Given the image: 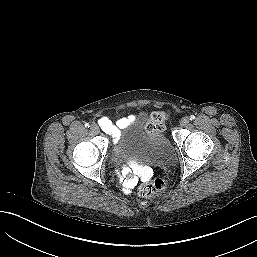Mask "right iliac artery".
Listing matches in <instances>:
<instances>
[{"mask_svg":"<svg viewBox=\"0 0 257 257\" xmlns=\"http://www.w3.org/2000/svg\"><path fill=\"white\" fill-rule=\"evenodd\" d=\"M85 127H86V128H89V127H90L89 123H86V124H85Z\"/></svg>","mask_w":257,"mask_h":257,"instance_id":"82829eb1","label":"right iliac artery"}]
</instances>
